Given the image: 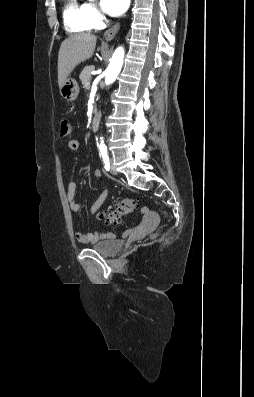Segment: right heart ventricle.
Masks as SVG:
<instances>
[{"mask_svg":"<svg viewBox=\"0 0 254 397\" xmlns=\"http://www.w3.org/2000/svg\"><path fill=\"white\" fill-rule=\"evenodd\" d=\"M63 21L69 33L80 34L92 29L87 18L86 4L79 0H65Z\"/></svg>","mask_w":254,"mask_h":397,"instance_id":"right-heart-ventricle-1","label":"right heart ventricle"}]
</instances>
